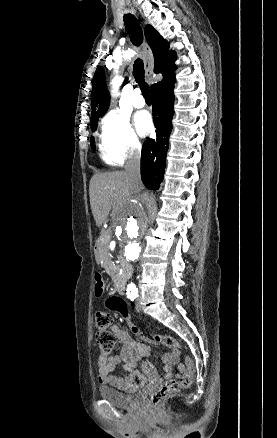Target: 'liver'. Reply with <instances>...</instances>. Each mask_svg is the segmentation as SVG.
Listing matches in <instances>:
<instances>
[{"instance_id":"6515ba94","label":"liver","mask_w":277,"mask_h":438,"mask_svg":"<svg viewBox=\"0 0 277 438\" xmlns=\"http://www.w3.org/2000/svg\"><path fill=\"white\" fill-rule=\"evenodd\" d=\"M130 188L126 172H103L92 176L90 206L97 226L104 224L111 208L116 210V205H138L137 200L129 196Z\"/></svg>"}]
</instances>
